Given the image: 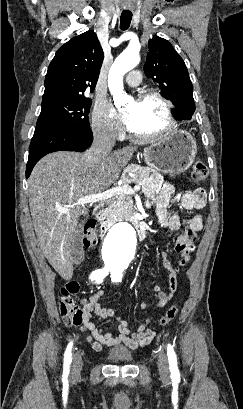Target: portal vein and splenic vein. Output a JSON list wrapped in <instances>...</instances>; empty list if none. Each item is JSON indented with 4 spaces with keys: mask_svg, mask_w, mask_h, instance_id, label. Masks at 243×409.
I'll list each match as a JSON object with an SVG mask.
<instances>
[{
    "mask_svg": "<svg viewBox=\"0 0 243 409\" xmlns=\"http://www.w3.org/2000/svg\"><path fill=\"white\" fill-rule=\"evenodd\" d=\"M139 190H140L139 184L135 185L134 188L130 187L128 184L117 186L112 189L106 190L104 192H99L96 194H91V195L82 197L76 203H74L73 206H84L85 204H88V203L102 202L118 194H122V193L134 194L135 192H138ZM59 211L62 213H66L69 211V209H59Z\"/></svg>",
    "mask_w": 243,
    "mask_h": 409,
    "instance_id": "18ae733b",
    "label": "portal vein and splenic vein"
}]
</instances>
